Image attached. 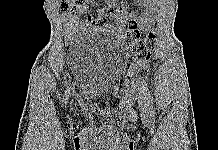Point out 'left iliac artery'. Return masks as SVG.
Returning a JSON list of instances; mask_svg holds the SVG:
<instances>
[{"mask_svg":"<svg viewBox=\"0 0 218 150\" xmlns=\"http://www.w3.org/2000/svg\"><path fill=\"white\" fill-rule=\"evenodd\" d=\"M141 92H142L143 98L146 102L148 112L150 113V116H153L154 111H153V105H152V98H151V95L149 93L148 86H147L146 82H142Z\"/></svg>","mask_w":218,"mask_h":150,"instance_id":"1","label":"left iliac artery"}]
</instances>
